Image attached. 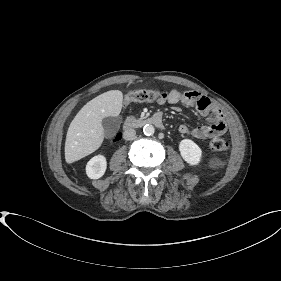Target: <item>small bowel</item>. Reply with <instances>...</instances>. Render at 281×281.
Returning <instances> with one entry per match:
<instances>
[{
    "label": "small bowel",
    "instance_id": "obj_1",
    "mask_svg": "<svg viewBox=\"0 0 281 281\" xmlns=\"http://www.w3.org/2000/svg\"><path fill=\"white\" fill-rule=\"evenodd\" d=\"M157 103L196 107L203 116L207 117L208 122L206 124L195 128L180 125L178 128L180 134L190 135L197 139H208L226 133L227 126L221 110L214 102L199 92L178 90L164 92Z\"/></svg>",
    "mask_w": 281,
    "mask_h": 281
}]
</instances>
